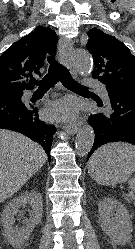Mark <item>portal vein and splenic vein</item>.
Here are the masks:
<instances>
[{
  "label": "portal vein and splenic vein",
  "mask_w": 135,
  "mask_h": 249,
  "mask_svg": "<svg viewBox=\"0 0 135 249\" xmlns=\"http://www.w3.org/2000/svg\"><path fill=\"white\" fill-rule=\"evenodd\" d=\"M130 195H133V193H132V192H130Z\"/></svg>",
  "instance_id": "portal-vein-and-splenic-vein-1"
}]
</instances>
